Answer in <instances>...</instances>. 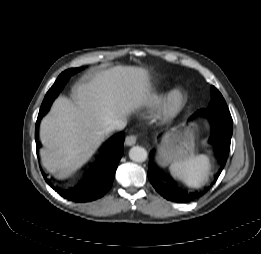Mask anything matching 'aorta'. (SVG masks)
I'll return each instance as SVG.
<instances>
[{"label":"aorta","mask_w":261,"mask_h":254,"mask_svg":"<svg viewBox=\"0 0 261 254\" xmlns=\"http://www.w3.org/2000/svg\"><path fill=\"white\" fill-rule=\"evenodd\" d=\"M129 158L138 163H142L147 159V151L141 146H134L129 151Z\"/></svg>","instance_id":"obj_1"}]
</instances>
